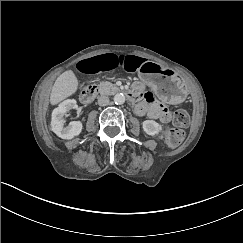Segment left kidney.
I'll return each instance as SVG.
<instances>
[{
  "mask_svg": "<svg viewBox=\"0 0 243 243\" xmlns=\"http://www.w3.org/2000/svg\"><path fill=\"white\" fill-rule=\"evenodd\" d=\"M143 133L150 136H158L163 131V126L154 120H144L142 123Z\"/></svg>",
  "mask_w": 243,
  "mask_h": 243,
  "instance_id": "left-kidney-1",
  "label": "left kidney"
}]
</instances>
